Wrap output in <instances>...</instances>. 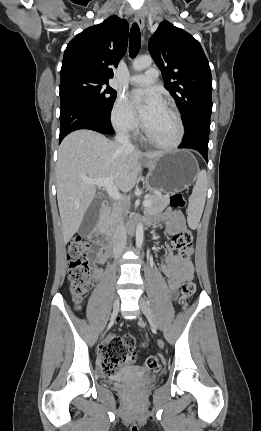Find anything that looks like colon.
<instances>
[{"label": "colon", "mask_w": 261, "mask_h": 431, "mask_svg": "<svg viewBox=\"0 0 261 431\" xmlns=\"http://www.w3.org/2000/svg\"><path fill=\"white\" fill-rule=\"evenodd\" d=\"M171 204L175 209L183 208L186 200L182 194H175L171 198ZM192 234L183 231L173 238L174 245L181 251L179 257L186 262L189 259L187 248L192 244ZM89 243L81 236H74L68 243V279L69 290L74 302L79 306L91 288V266L88 259ZM196 291V285L192 279L186 280L181 287L180 303L186 307ZM134 338L130 334L124 336L109 335L100 347V357L103 369L108 374H115L121 366L133 363ZM164 347L163 343L158 345ZM168 359L161 356H150L143 362L142 370L145 373H159L161 366H166Z\"/></svg>", "instance_id": "5ec220e1"}]
</instances>
